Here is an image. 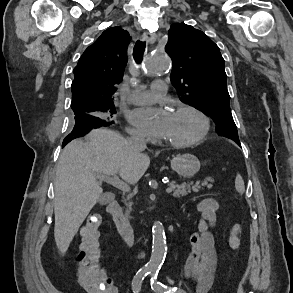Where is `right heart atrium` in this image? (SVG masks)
Here are the masks:
<instances>
[{
    "label": "right heart atrium",
    "instance_id": "d8ad5b80",
    "mask_svg": "<svg viewBox=\"0 0 293 293\" xmlns=\"http://www.w3.org/2000/svg\"><path fill=\"white\" fill-rule=\"evenodd\" d=\"M127 132L135 138L148 139V136L146 133L140 131L139 129L135 127H132V126L127 127Z\"/></svg>",
    "mask_w": 293,
    "mask_h": 293
}]
</instances>
